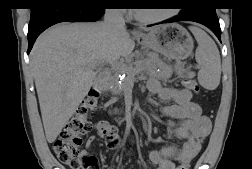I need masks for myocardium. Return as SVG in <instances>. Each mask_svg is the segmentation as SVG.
Returning a JSON list of instances; mask_svg holds the SVG:
<instances>
[{
	"instance_id": "f54148a6",
	"label": "myocardium",
	"mask_w": 252,
	"mask_h": 169,
	"mask_svg": "<svg viewBox=\"0 0 252 169\" xmlns=\"http://www.w3.org/2000/svg\"><path fill=\"white\" fill-rule=\"evenodd\" d=\"M173 14H174L173 11H169V12H166V13H163L160 15H155V16H142V15L138 14L137 11H134V17L142 23L159 22V21L170 18Z\"/></svg>"
}]
</instances>
